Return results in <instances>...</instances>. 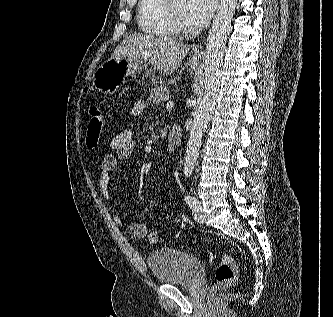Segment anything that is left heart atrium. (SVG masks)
Masks as SVG:
<instances>
[{"label": "left heart atrium", "instance_id": "obj_1", "mask_svg": "<svg viewBox=\"0 0 333 317\" xmlns=\"http://www.w3.org/2000/svg\"><path fill=\"white\" fill-rule=\"evenodd\" d=\"M215 10V0H187L184 8L185 21L193 26H204Z\"/></svg>", "mask_w": 333, "mask_h": 317}]
</instances>
